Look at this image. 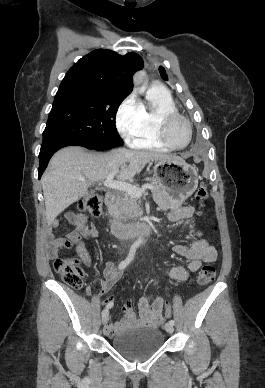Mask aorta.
<instances>
[{
  "label": "aorta",
  "mask_w": 265,
  "mask_h": 388,
  "mask_svg": "<svg viewBox=\"0 0 265 388\" xmlns=\"http://www.w3.org/2000/svg\"><path fill=\"white\" fill-rule=\"evenodd\" d=\"M143 72H138L135 76H134V84L135 85H138L141 83L142 81V77H143ZM143 243V238L142 237H139L136 241V244L137 245H140Z\"/></svg>",
  "instance_id": "762f6f07"
}]
</instances>
